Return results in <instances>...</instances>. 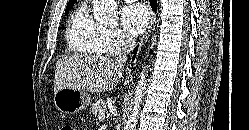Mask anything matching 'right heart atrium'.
Listing matches in <instances>:
<instances>
[{"instance_id":"d8ad5b80","label":"right heart atrium","mask_w":249,"mask_h":130,"mask_svg":"<svg viewBox=\"0 0 249 130\" xmlns=\"http://www.w3.org/2000/svg\"><path fill=\"white\" fill-rule=\"evenodd\" d=\"M105 40L109 53L117 54L131 45V38L117 27L105 28Z\"/></svg>"}]
</instances>
